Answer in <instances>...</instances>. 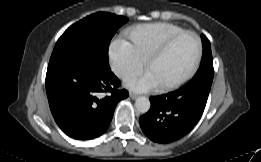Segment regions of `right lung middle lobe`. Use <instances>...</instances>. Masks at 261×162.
<instances>
[{"mask_svg": "<svg viewBox=\"0 0 261 162\" xmlns=\"http://www.w3.org/2000/svg\"><path fill=\"white\" fill-rule=\"evenodd\" d=\"M127 21L126 17L111 13H94L70 26L58 39L50 62L58 58L90 54L109 63V43L117 29Z\"/></svg>", "mask_w": 261, "mask_h": 162, "instance_id": "obj_1", "label": "right lung middle lobe"}]
</instances>
